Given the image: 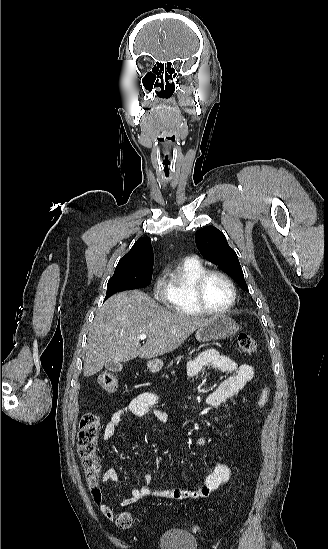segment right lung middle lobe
Wrapping results in <instances>:
<instances>
[{"label": "right lung middle lobe", "mask_w": 328, "mask_h": 549, "mask_svg": "<svg viewBox=\"0 0 328 549\" xmlns=\"http://www.w3.org/2000/svg\"><path fill=\"white\" fill-rule=\"evenodd\" d=\"M154 260L134 264L127 268L115 271L107 284L105 300L113 294L132 290L150 284Z\"/></svg>", "instance_id": "1"}]
</instances>
